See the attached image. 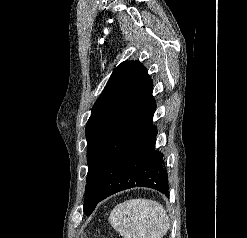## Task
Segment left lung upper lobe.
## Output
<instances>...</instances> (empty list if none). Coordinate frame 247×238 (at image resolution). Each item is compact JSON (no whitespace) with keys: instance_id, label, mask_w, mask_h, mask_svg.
Returning <instances> with one entry per match:
<instances>
[{"instance_id":"1","label":"left lung upper lobe","mask_w":247,"mask_h":238,"mask_svg":"<svg viewBox=\"0 0 247 238\" xmlns=\"http://www.w3.org/2000/svg\"><path fill=\"white\" fill-rule=\"evenodd\" d=\"M152 92L146 68L139 61H125L114 69L95 102L86 125V215L97 205L99 185L108 166L152 109Z\"/></svg>"}]
</instances>
